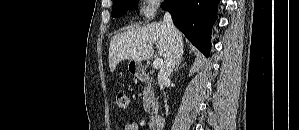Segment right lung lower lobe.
I'll return each mask as SVG.
<instances>
[{"label": "right lung lower lobe", "instance_id": "right-lung-lower-lobe-1", "mask_svg": "<svg viewBox=\"0 0 299 130\" xmlns=\"http://www.w3.org/2000/svg\"><path fill=\"white\" fill-rule=\"evenodd\" d=\"M219 0H164L175 26L205 56H209L211 30L217 19Z\"/></svg>", "mask_w": 299, "mask_h": 130}]
</instances>
